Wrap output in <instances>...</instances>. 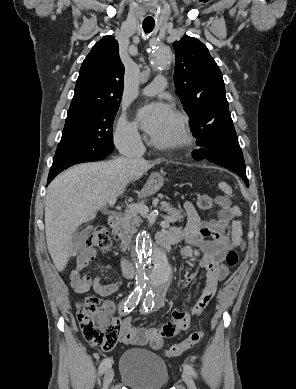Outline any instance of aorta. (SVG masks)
I'll use <instances>...</instances> for the list:
<instances>
[{
	"label": "aorta",
	"instance_id": "aorta-1",
	"mask_svg": "<svg viewBox=\"0 0 296 389\" xmlns=\"http://www.w3.org/2000/svg\"><path fill=\"white\" fill-rule=\"evenodd\" d=\"M173 59V50L165 45L158 44L151 51V64L155 69L167 67ZM132 255L137 266V285L146 289L148 299H151L171 281L172 268L169 260L147 233L137 237L132 247Z\"/></svg>",
	"mask_w": 296,
	"mask_h": 389
}]
</instances>
